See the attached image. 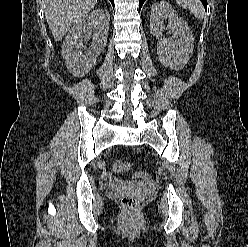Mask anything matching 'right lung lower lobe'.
Returning a JSON list of instances; mask_svg holds the SVG:
<instances>
[{"label": "right lung lower lobe", "instance_id": "obj_1", "mask_svg": "<svg viewBox=\"0 0 248 247\" xmlns=\"http://www.w3.org/2000/svg\"><path fill=\"white\" fill-rule=\"evenodd\" d=\"M110 1H111L112 5L114 6V0H110Z\"/></svg>", "mask_w": 248, "mask_h": 247}]
</instances>
